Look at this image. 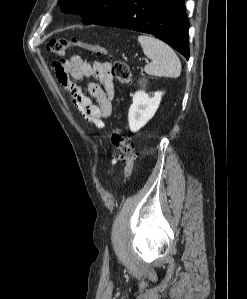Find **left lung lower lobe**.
<instances>
[{
	"label": "left lung lower lobe",
	"mask_w": 247,
	"mask_h": 299,
	"mask_svg": "<svg viewBox=\"0 0 247 299\" xmlns=\"http://www.w3.org/2000/svg\"><path fill=\"white\" fill-rule=\"evenodd\" d=\"M93 24L152 34L189 58L184 0H121Z\"/></svg>",
	"instance_id": "0a47b994"
}]
</instances>
